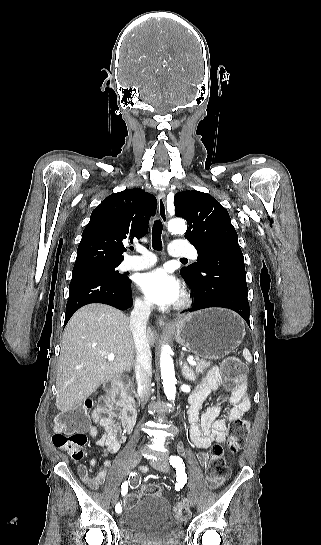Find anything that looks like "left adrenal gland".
<instances>
[{
	"instance_id": "1",
	"label": "left adrenal gland",
	"mask_w": 321,
	"mask_h": 545,
	"mask_svg": "<svg viewBox=\"0 0 321 545\" xmlns=\"http://www.w3.org/2000/svg\"><path fill=\"white\" fill-rule=\"evenodd\" d=\"M181 355H183V353H181ZM180 363H182L181 359H180ZM180 367H181V373L183 377L187 379V381H195L194 373L192 369L188 367L187 363H183V365H180Z\"/></svg>"
}]
</instances>
